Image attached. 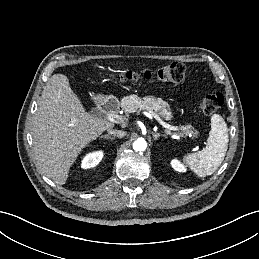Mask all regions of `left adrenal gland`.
Segmentation results:
<instances>
[{
	"label": "left adrenal gland",
	"mask_w": 259,
	"mask_h": 259,
	"mask_svg": "<svg viewBox=\"0 0 259 259\" xmlns=\"http://www.w3.org/2000/svg\"><path fill=\"white\" fill-rule=\"evenodd\" d=\"M152 135H153L155 140H158L160 136H165L166 137V134L155 133V132H152Z\"/></svg>",
	"instance_id": "a2214340"
}]
</instances>
